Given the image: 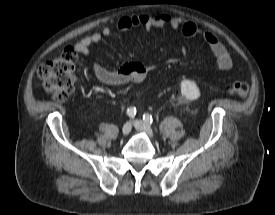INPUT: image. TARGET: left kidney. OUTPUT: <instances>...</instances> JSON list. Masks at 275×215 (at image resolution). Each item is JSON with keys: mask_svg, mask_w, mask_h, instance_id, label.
Wrapping results in <instances>:
<instances>
[{"mask_svg": "<svg viewBox=\"0 0 275 215\" xmlns=\"http://www.w3.org/2000/svg\"><path fill=\"white\" fill-rule=\"evenodd\" d=\"M181 94L189 100H195L200 97V90L194 81H181Z\"/></svg>", "mask_w": 275, "mask_h": 215, "instance_id": "left-kidney-1", "label": "left kidney"}]
</instances>
